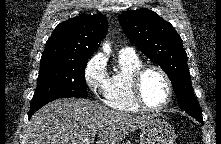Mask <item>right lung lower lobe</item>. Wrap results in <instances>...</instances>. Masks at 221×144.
<instances>
[{
	"label": "right lung lower lobe",
	"instance_id": "right-lung-lower-lobe-1",
	"mask_svg": "<svg viewBox=\"0 0 221 144\" xmlns=\"http://www.w3.org/2000/svg\"><path fill=\"white\" fill-rule=\"evenodd\" d=\"M68 98H69V97H68ZM34 113H35V111H30V112H29V115H28V118L30 119L31 116H32Z\"/></svg>",
	"mask_w": 221,
	"mask_h": 144
}]
</instances>
